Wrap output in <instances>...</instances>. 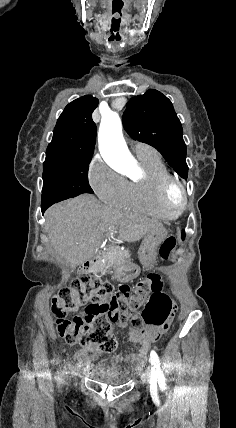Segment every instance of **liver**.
I'll use <instances>...</instances> for the list:
<instances>
[{"label":"liver","mask_w":236,"mask_h":428,"mask_svg":"<svg viewBox=\"0 0 236 428\" xmlns=\"http://www.w3.org/2000/svg\"><path fill=\"white\" fill-rule=\"evenodd\" d=\"M45 220V232L54 250L71 268L91 260L104 238L139 242L156 226L163 228L148 216L108 208L91 194L54 204L45 212Z\"/></svg>","instance_id":"6515ba94"}]
</instances>
